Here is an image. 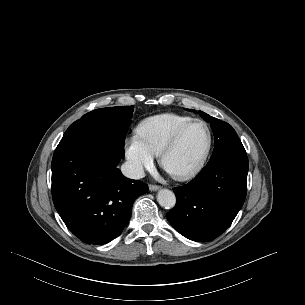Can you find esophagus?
<instances>
[{"mask_svg":"<svg viewBox=\"0 0 305 305\" xmlns=\"http://www.w3.org/2000/svg\"><path fill=\"white\" fill-rule=\"evenodd\" d=\"M161 187L159 186V185H153V184H151V185H149V190L150 191H157V190H159Z\"/></svg>","mask_w":305,"mask_h":305,"instance_id":"34e87169","label":"esophagus"}]
</instances>
